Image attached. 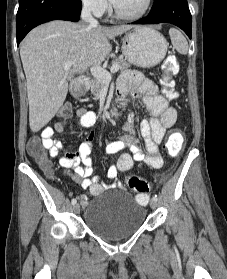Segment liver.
Returning <instances> with one entry per match:
<instances>
[{
    "mask_svg": "<svg viewBox=\"0 0 227 279\" xmlns=\"http://www.w3.org/2000/svg\"><path fill=\"white\" fill-rule=\"evenodd\" d=\"M133 27H91L56 20L28 33L20 45V56L27 81L32 132H38L58 112L68 93V81L88 67L100 65L112 50L109 40ZM68 61L74 63L65 70L63 64Z\"/></svg>",
    "mask_w": 227,
    "mask_h": 279,
    "instance_id": "liver-1",
    "label": "liver"
}]
</instances>
